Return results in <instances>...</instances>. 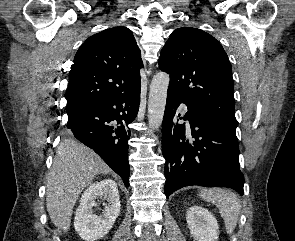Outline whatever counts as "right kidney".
Instances as JSON below:
<instances>
[{
	"label": "right kidney",
	"mask_w": 295,
	"mask_h": 241,
	"mask_svg": "<svg viewBox=\"0 0 295 241\" xmlns=\"http://www.w3.org/2000/svg\"><path fill=\"white\" fill-rule=\"evenodd\" d=\"M101 198L107 201L102 215L93 213L95 200ZM80 205L76 210L74 227L85 241H95L104 237L120 214L118 187L112 179H104L91 184L83 193Z\"/></svg>",
	"instance_id": "obj_1"
}]
</instances>
